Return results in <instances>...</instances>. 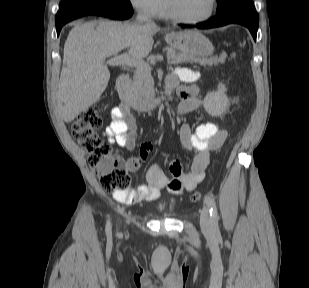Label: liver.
<instances>
[{
    "instance_id": "1",
    "label": "liver",
    "mask_w": 309,
    "mask_h": 288,
    "mask_svg": "<svg viewBox=\"0 0 309 288\" xmlns=\"http://www.w3.org/2000/svg\"><path fill=\"white\" fill-rule=\"evenodd\" d=\"M158 26L115 21L76 23L64 45L63 67L57 90L62 119L72 122L98 101L110 79L106 58L128 49L142 59L152 50Z\"/></svg>"
}]
</instances>
